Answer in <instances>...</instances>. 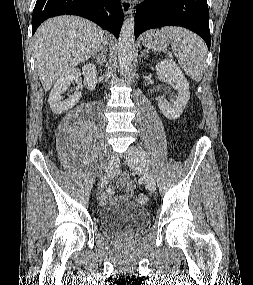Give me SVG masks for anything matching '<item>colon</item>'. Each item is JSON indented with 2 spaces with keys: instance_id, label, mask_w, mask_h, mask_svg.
<instances>
[{
  "instance_id": "obj_1",
  "label": "colon",
  "mask_w": 253,
  "mask_h": 285,
  "mask_svg": "<svg viewBox=\"0 0 253 285\" xmlns=\"http://www.w3.org/2000/svg\"><path fill=\"white\" fill-rule=\"evenodd\" d=\"M135 201L139 205H145L148 201V198L144 193H140L135 197Z\"/></svg>"
}]
</instances>
